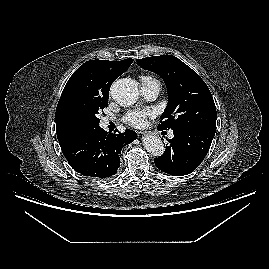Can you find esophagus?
<instances>
[{
    "instance_id": "1",
    "label": "esophagus",
    "mask_w": 269,
    "mask_h": 269,
    "mask_svg": "<svg viewBox=\"0 0 269 269\" xmlns=\"http://www.w3.org/2000/svg\"><path fill=\"white\" fill-rule=\"evenodd\" d=\"M141 134H144L145 135V134H148V132H141Z\"/></svg>"
}]
</instances>
